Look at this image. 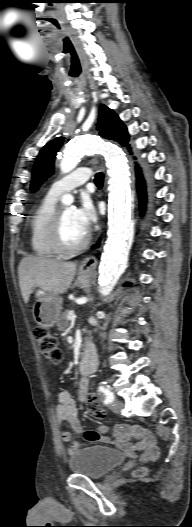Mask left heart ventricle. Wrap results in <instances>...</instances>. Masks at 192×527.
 Instances as JSON below:
<instances>
[{"label":"left heart ventricle","mask_w":192,"mask_h":527,"mask_svg":"<svg viewBox=\"0 0 192 527\" xmlns=\"http://www.w3.org/2000/svg\"><path fill=\"white\" fill-rule=\"evenodd\" d=\"M62 235L65 244L69 246L79 244L87 235L78 224L74 209L69 206L62 208Z\"/></svg>","instance_id":"1"}]
</instances>
